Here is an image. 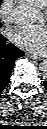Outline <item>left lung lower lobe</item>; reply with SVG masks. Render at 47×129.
<instances>
[{
	"mask_svg": "<svg viewBox=\"0 0 47 129\" xmlns=\"http://www.w3.org/2000/svg\"><path fill=\"white\" fill-rule=\"evenodd\" d=\"M44 86L47 89V81L44 82Z\"/></svg>",
	"mask_w": 47,
	"mask_h": 129,
	"instance_id": "left-lung-lower-lobe-1",
	"label": "left lung lower lobe"
}]
</instances>
